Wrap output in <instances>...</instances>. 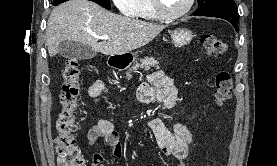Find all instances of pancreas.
<instances>
[{"mask_svg": "<svg viewBox=\"0 0 277 166\" xmlns=\"http://www.w3.org/2000/svg\"><path fill=\"white\" fill-rule=\"evenodd\" d=\"M140 62L141 63H136L132 67V69L138 70L139 68H142L146 71L150 70L151 67L159 69V65H158L159 62L153 57H145L144 59H141ZM127 77H128V79L132 78L131 69L127 72Z\"/></svg>", "mask_w": 277, "mask_h": 166, "instance_id": "pancreas-1", "label": "pancreas"}]
</instances>
